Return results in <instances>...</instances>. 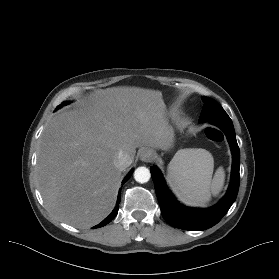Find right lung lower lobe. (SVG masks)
Returning a JSON list of instances; mask_svg holds the SVG:
<instances>
[{
  "instance_id": "1",
  "label": "right lung lower lobe",
  "mask_w": 279,
  "mask_h": 279,
  "mask_svg": "<svg viewBox=\"0 0 279 279\" xmlns=\"http://www.w3.org/2000/svg\"><path fill=\"white\" fill-rule=\"evenodd\" d=\"M131 174H132V171H130L127 174V176L124 178L122 183L126 182L131 177ZM120 198H121V192L119 191L117 203H116V206H115L114 210L112 211V213L107 218H105L100 224L95 226L94 228H99V227L105 226L106 224H108L110 221H112L115 218V216L118 213Z\"/></svg>"
}]
</instances>
